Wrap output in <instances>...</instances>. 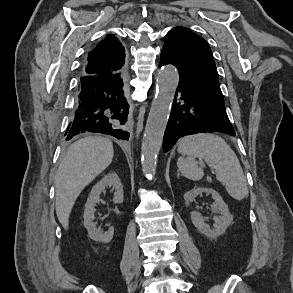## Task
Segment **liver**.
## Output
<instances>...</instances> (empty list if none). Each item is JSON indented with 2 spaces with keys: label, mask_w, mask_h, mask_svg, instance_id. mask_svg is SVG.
<instances>
[{
  "label": "liver",
  "mask_w": 293,
  "mask_h": 293,
  "mask_svg": "<svg viewBox=\"0 0 293 293\" xmlns=\"http://www.w3.org/2000/svg\"><path fill=\"white\" fill-rule=\"evenodd\" d=\"M113 155L112 142L99 136L80 139L67 150L55 176L56 214L64 229L76 199L111 164Z\"/></svg>",
  "instance_id": "1"
}]
</instances>
